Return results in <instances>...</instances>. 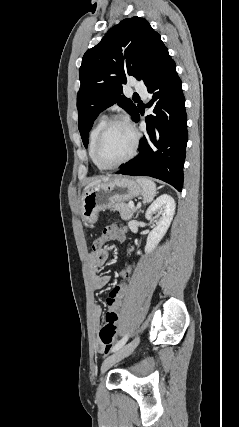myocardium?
<instances>
[{
  "label": "myocardium",
  "mask_w": 239,
  "mask_h": 427,
  "mask_svg": "<svg viewBox=\"0 0 239 427\" xmlns=\"http://www.w3.org/2000/svg\"><path fill=\"white\" fill-rule=\"evenodd\" d=\"M116 125H124L126 126L133 134L134 137V141H133V146L132 149L130 151V153L121 161L114 163V164H107L105 162H103L100 158L99 155V151H100V146L101 143L105 137V135L107 134V132L114 126ZM139 143H140V133L137 130V128L125 117L123 116H116L110 120H108L105 125L102 127V129L100 130L95 144H94V159L96 161V163L103 169H115L118 168L124 164H126L127 162H129L130 160H132L138 151V147H139Z\"/></svg>",
  "instance_id": "f54148a6"
}]
</instances>
